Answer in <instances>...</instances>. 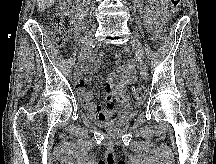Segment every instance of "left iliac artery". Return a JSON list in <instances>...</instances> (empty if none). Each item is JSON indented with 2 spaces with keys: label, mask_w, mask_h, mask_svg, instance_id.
Wrapping results in <instances>:
<instances>
[{
  "label": "left iliac artery",
  "mask_w": 216,
  "mask_h": 164,
  "mask_svg": "<svg viewBox=\"0 0 216 164\" xmlns=\"http://www.w3.org/2000/svg\"><path fill=\"white\" fill-rule=\"evenodd\" d=\"M136 58H137V60L139 61V57H138V55L136 54Z\"/></svg>",
  "instance_id": "obj_1"
}]
</instances>
